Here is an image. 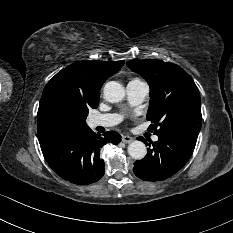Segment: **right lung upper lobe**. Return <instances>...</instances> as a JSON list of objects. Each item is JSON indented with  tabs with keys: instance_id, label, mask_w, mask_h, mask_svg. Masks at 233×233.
<instances>
[{
	"instance_id": "obj_1",
	"label": "right lung upper lobe",
	"mask_w": 233,
	"mask_h": 233,
	"mask_svg": "<svg viewBox=\"0 0 233 233\" xmlns=\"http://www.w3.org/2000/svg\"><path fill=\"white\" fill-rule=\"evenodd\" d=\"M123 65V61L75 62L47 83L43 95L51 89H61L88 104H99V91L103 83Z\"/></svg>"
}]
</instances>
